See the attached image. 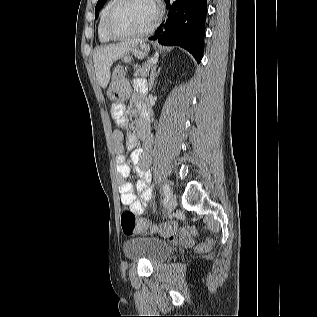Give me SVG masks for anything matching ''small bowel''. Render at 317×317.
Here are the masks:
<instances>
[{"label":"small bowel","mask_w":317,"mask_h":317,"mask_svg":"<svg viewBox=\"0 0 317 317\" xmlns=\"http://www.w3.org/2000/svg\"><path fill=\"white\" fill-rule=\"evenodd\" d=\"M133 87L136 95L132 99L130 109L127 110L123 105L112 107V117L119 127L112 132V144L116 153L117 172L124 179L119 185L120 201L123 205L129 206L134 214L142 215L146 210L147 203L152 198V190L150 188L151 174L149 170L151 135L148 117L142 109L140 101V96L146 92V82L142 78H136L133 82ZM128 117H132L136 121L138 134H129L125 138L123 128L127 123ZM138 138L143 141L142 148H136ZM126 149L132 151L130 158L139 175V180L135 186L138 196L134 192L133 185L126 180L131 172L130 165L123 155ZM191 234L192 231L190 229H180L176 230L170 238L187 241L190 239Z\"/></svg>","instance_id":"obj_1"}]
</instances>
